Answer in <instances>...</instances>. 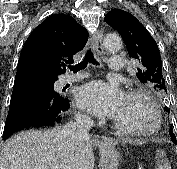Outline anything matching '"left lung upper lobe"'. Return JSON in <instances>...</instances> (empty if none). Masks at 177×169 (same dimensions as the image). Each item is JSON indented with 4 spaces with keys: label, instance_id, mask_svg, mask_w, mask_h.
<instances>
[{
    "label": "left lung upper lobe",
    "instance_id": "obj_1",
    "mask_svg": "<svg viewBox=\"0 0 177 169\" xmlns=\"http://www.w3.org/2000/svg\"><path fill=\"white\" fill-rule=\"evenodd\" d=\"M104 20L120 33L129 56L139 62L137 77L140 81L147 84L158 96L165 98L167 89L160 53L150 33L133 15L120 9L111 10ZM169 135L176 138L172 126Z\"/></svg>",
    "mask_w": 177,
    "mask_h": 169
}]
</instances>
